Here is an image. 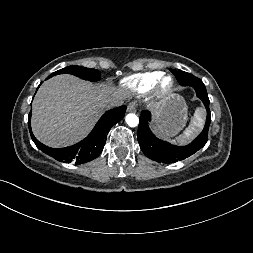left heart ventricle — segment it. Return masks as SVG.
<instances>
[{
	"label": "left heart ventricle",
	"instance_id": "b2bd125f",
	"mask_svg": "<svg viewBox=\"0 0 253 253\" xmlns=\"http://www.w3.org/2000/svg\"><path fill=\"white\" fill-rule=\"evenodd\" d=\"M170 84V80L169 79H165L163 82L164 86H168Z\"/></svg>",
	"mask_w": 253,
	"mask_h": 253
}]
</instances>
